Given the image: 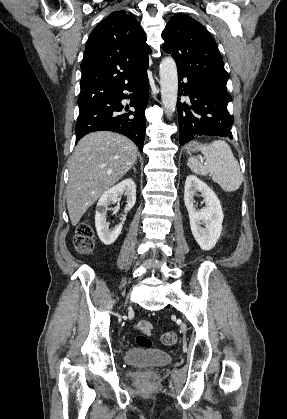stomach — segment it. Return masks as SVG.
<instances>
[{"instance_id": "1", "label": "stomach", "mask_w": 287, "mask_h": 419, "mask_svg": "<svg viewBox=\"0 0 287 419\" xmlns=\"http://www.w3.org/2000/svg\"><path fill=\"white\" fill-rule=\"evenodd\" d=\"M200 144L198 142H191L186 146L187 153L192 154L200 150Z\"/></svg>"}]
</instances>
